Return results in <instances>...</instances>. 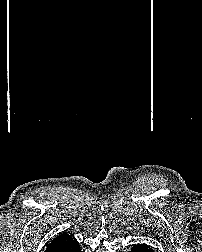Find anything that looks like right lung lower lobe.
<instances>
[{
  "label": "right lung lower lobe",
  "instance_id": "obj_1",
  "mask_svg": "<svg viewBox=\"0 0 202 252\" xmlns=\"http://www.w3.org/2000/svg\"><path fill=\"white\" fill-rule=\"evenodd\" d=\"M69 252H81L80 247H79V243H76V245H74L72 247V249L69 250Z\"/></svg>",
  "mask_w": 202,
  "mask_h": 252
}]
</instances>
